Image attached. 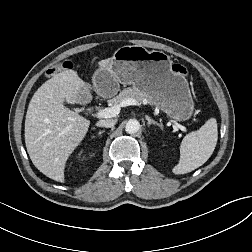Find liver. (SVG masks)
<instances>
[{"instance_id": "6515ba94", "label": "liver", "mask_w": 252, "mask_h": 252, "mask_svg": "<svg viewBox=\"0 0 252 252\" xmlns=\"http://www.w3.org/2000/svg\"><path fill=\"white\" fill-rule=\"evenodd\" d=\"M110 59L98 62L99 68ZM90 86L74 70H65L46 81L34 93L26 113L25 144L34 166L47 177L64 182V169L71 153L86 136L90 121L66 107L78 104Z\"/></svg>"}]
</instances>
